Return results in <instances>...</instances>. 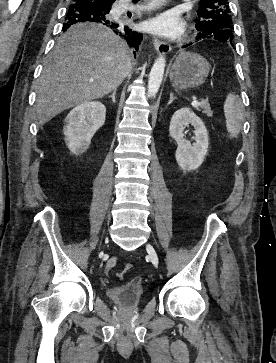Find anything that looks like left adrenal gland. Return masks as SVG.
Wrapping results in <instances>:
<instances>
[{
    "label": "left adrenal gland",
    "instance_id": "left-adrenal-gland-1",
    "mask_svg": "<svg viewBox=\"0 0 276 363\" xmlns=\"http://www.w3.org/2000/svg\"><path fill=\"white\" fill-rule=\"evenodd\" d=\"M174 99H176V97H174L173 93H170V100L167 105H170L174 101Z\"/></svg>",
    "mask_w": 276,
    "mask_h": 363
}]
</instances>
